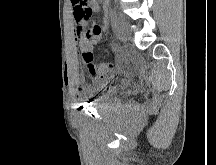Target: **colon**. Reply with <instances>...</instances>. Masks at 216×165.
Returning <instances> with one entry per match:
<instances>
[{"label":"colon","mask_w":216,"mask_h":165,"mask_svg":"<svg viewBox=\"0 0 216 165\" xmlns=\"http://www.w3.org/2000/svg\"><path fill=\"white\" fill-rule=\"evenodd\" d=\"M75 5H83L86 0H72ZM83 15H88V13H81ZM102 33V28L100 25L92 26L86 32V40L80 43V57L87 64L88 68L92 70L95 74L104 75L111 72L114 66L110 63H93V53L91 51V45L94 42H98Z\"/></svg>","instance_id":"obj_1"}]
</instances>
